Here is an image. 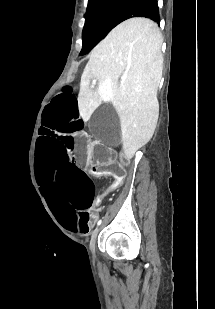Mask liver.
Segmentation results:
<instances>
[{
	"instance_id": "obj_1",
	"label": "liver",
	"mask_w": 215,
	"mask_h": 309,
	"mask_svg": "<svg viewBox=\"0 0 215 309\" xmlns=\"http://www.w3.org/2000/svg\"><path fill=\"white\" fill-rule=\"evenodd\" d=\"M162 42L157 22L143 16L128 18L93 48L81 76L78 104L84 122L101 102H112L126 159L150 140L156 126ZM91 78H97V90L90 88Z\"/></svg>"
}]
</instances>
